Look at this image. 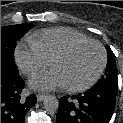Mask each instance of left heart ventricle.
<instances>
[{
    "instance_id": "obj_1",
    "label": "left heart ventricle",
    "mask_w": 123,
    "mask_h": 123,
    "mask_svg": "<svg viewBox=\"0 0 123 123\" xmlns=\"http://www.w3.org/2000/svg\"><path fill=\"white\" fill-rule=\"evenodd\" d=\"M101 61L102 55L99 47L88 44L76 49L65 58L53 61L51 68L60 74L64 85L77 86L92 79Z\"/></svg>"
}]
</instances>
